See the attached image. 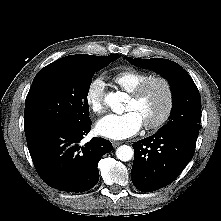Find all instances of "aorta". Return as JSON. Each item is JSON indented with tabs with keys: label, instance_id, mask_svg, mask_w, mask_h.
Masks as SVG:
<instances>
[{
	"label": "aorta",
	"instance_id": "obj_1",
	"mask_svg": "<svg viewBox=\"0 0 221 221\" xmlns=\"http://www.w3.org/2000/svg\"><path fill=\"white\" fill-rule=\"evenodd\" d=\"M124 94L121 92H110L105 96V104L109 106L113 112L120 113L123 110ZM134 151L128 145H122L116 149V156L121 161H129L132 159Z\"/></svg>",
	"mask_w": 221,
	"mask_h": 221
}]
</instances>
